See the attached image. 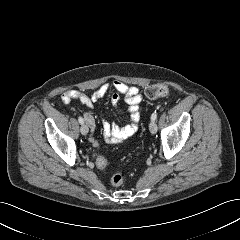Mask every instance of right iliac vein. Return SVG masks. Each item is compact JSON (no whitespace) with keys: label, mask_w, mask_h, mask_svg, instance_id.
<instances>
[{"label":"right iliac vein","mask_w":240,"mask_h":240,"mask_svg":"<svg viewBox=\"0 0 240 240\" xmlns=\"http://www.w3.org/2000/svg\"><path fill=\"white\" fill-rule=\"evenodd\" d=\"M88 131H89L88 126H87L86 124H82V126H81V128H80L81 134L87 135V134H88Z\"/></svg>","instance_id":"right-iliac-vein-1"}]
</instances>
